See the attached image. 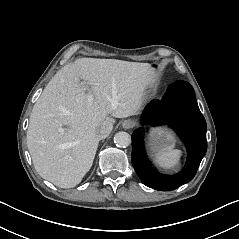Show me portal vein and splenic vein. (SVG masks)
<instances>
[{
	"label": "portal vein and splenic vein",
	"mask_w": 239,
	"mask_h": 239,
	"mask_svg": "<svg viewBox=\"0 0 239 239\" xmlns=\"http://www.w3.org/2000/svg\"><path fill=\"white\" fill-rule=\"evenodd\" d=\"M58 131H59V132H62V131H63V128H58Z\"/></svg>",
	"instance_id": "18ae733b"
}]
</instances>
